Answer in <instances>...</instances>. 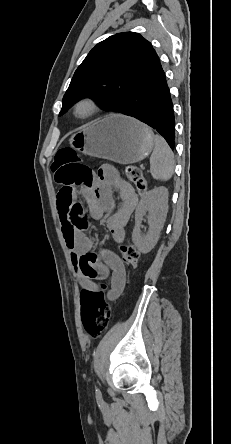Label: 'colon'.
<instances>
[{
  "label": "colon",
  "mask_w": 231,
  "mask_h": 444,
  "mask_svg": "<svg viewBox=\"0 0 231 444\" xmlns=\"http://www.w3.org/2000/svg\"><path fill=\"white\" fill-rule=\"evenodd\" d=\"M51 171L55 180L67 188L85 185L92 180V170L82 162L79 155L71 148L58 150L51 165ZM125 174L140 194L147 191V181L140 168L135 165H127ZM73 215L76 228L85 233L88 222L79 204L73 208ZM121 252L124 262L131 268L135 267L139 258L136 247L130 242H126L121 246ZM105 289L106 285L100 284L96 291L83 290L81 293L83 325L87 333L93 337L100 336L111 319V307L105 298Z\"/></svg>",
  "instance_id": "1"
}]
</instances>
